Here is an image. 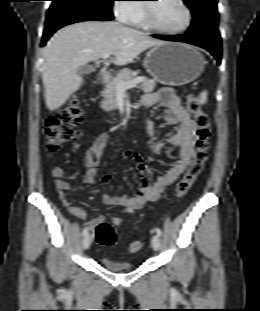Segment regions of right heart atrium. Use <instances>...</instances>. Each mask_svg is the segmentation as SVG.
Listing matches in <instances>:
<instances>
[{"instance_id":"d8ad5b80","label":"right heart atrium","mask_w":260,"mask_h":311,"mask_svg":"<svg viewBox=\"0 0 260 311\" xmlns=\"http://www.w3.org/2000/svg\"><path fill=\"white\" fill-rule=\"evenodd\" d=\"M136 4L126 3L124 0H116L113 6L115 16L123 23H130L137 13Z\"/></svg>"}]
</instances>
